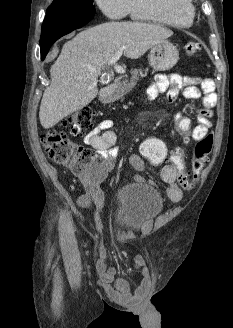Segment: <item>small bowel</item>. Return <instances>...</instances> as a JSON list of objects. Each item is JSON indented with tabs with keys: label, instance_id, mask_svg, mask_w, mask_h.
<instances>
[{
	"label": "small bowel",
	"instance_id": "obj_1",
	"mask_svg": "<svg viewBox=\"0 0 233 328\" xmlns=\"http://www.w3.org/2000/svg\"><path fill=\"white\" fill-rule=\"evenodd\" d=\"M215 85L212 79L197 76H180L172 74L170 76L158 75L155 81L148 87L146 97L154 100L160 94H166L168 101L176 99L180 91L186 99L195 100L202 97L203 106L197 109L198 124L193 128L191 138L199 141L204 138L210 127L212 109L214 108L217 96L214 92ZM113 122L109 119L99 122L84 138L86 145L96 150L103 160L101 176L93 180H84L87 194L81 195L77 199V204L82 209H96L95 218L101 221V214L105 204V197L100 181L105 174L111 170L115 164L118 153L116 147V135L112 131ZM130 164L138 171L144 170V163L137 155H131ZM161 177L167 184V196L173 202H178L183 196L178 173L171 164H166L161 171ZM137 182H143L144 178L137 174ZM133 267L140 275V281L134 291H131L127 281L115 279V270L107 266L106 257H102L98 264V273L101 285L112 300L122 304L135 303L142 300L150 289L149 270L142 257L133 259Z\"/></svg>",
	"mask_w": 233,
	"mask_h": 328
}]
</instances>
